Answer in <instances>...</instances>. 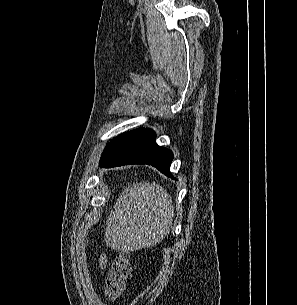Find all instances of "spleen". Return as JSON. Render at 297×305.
<instances>
[{
  "label": "spleen",
  "mask_w": 297,
  "mask_h": 305,
  "mask_svg": "<svg viewBox=\"0 0 297 305\" xmlns=\"http://www.w3.org/2000/svg\"><path fill=\"white\" fill-rule=\"evenodd\" d=\"M174 217L171 196L155 182H137L124 189L107 220L106 236L122 250L160 243L170 232Z\"/></svg>",
  "instance_id": "3e777b00"
}]
</instances>
